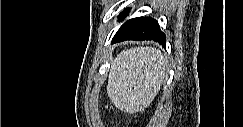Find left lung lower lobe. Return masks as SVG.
<instances>
[{"instance_id": "obj_1", "label": "left lung lower lobe", "mask_w": 243, "mask_h": 127, "mask_svg": "<svg viewBox=\"0 0 243 127\" xmlns=\"http://www.w3.org/2000/svg\"><path fill=\"white\" fill-rule=\"evenodd\" d=\"M129 9L124 10L119 15V21H122L128 14ZM125 40H154L166 45V36L160 30L158 22L151 17H136L126 21L116 32L111 44Z\"/></svg>"}]
</instances>
